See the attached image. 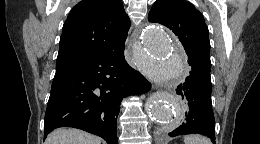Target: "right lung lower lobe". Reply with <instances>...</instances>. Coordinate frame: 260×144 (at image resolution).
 Masks as SVG:
<instances>
[{"instance_id": "1", "label": "right lung lower lobe", "mask_w": 260, "mask_h": 144, "mask_svg": "<svg viewBox=\"0 0 260 144\" xmlns=\"http://www.w3.org/2000/svg\"><path fill=\"white\" fill-rule=\"evenodd\" d=\"M151 84L125 60L124 49L56 67L44 119V138L58 127H74L117 144L122 99Z\"/></svg>"}]
</instances>
